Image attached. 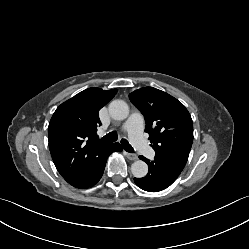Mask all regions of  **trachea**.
<instances>
[{
  "instance_id": "1",
  "label": "trachea",
  "mask_w": 249,
  "mask_h": 249,
  "mask_svg": "<svg viewBox=\"0 0 249 249\" xmlns=\"http://www.w3.org/2000/svg\"><path fill=\"white\" fill-rule=\"evenodd\" d=\"M117 138H118L117 133L115 131H112L103 137V139L110 141V142H115ZM121 145L125 151L129 153H134L133 147L129 144V142L126 139L121 140Z\"/></svg>"
}]
</instances>
